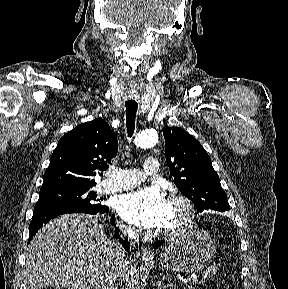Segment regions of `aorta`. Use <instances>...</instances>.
<instances>
[{"mask_svg":"<svg viewBox=\"0 0 288 289\" xmlns=\"http://www.w3.org/2000/svg\"><path fill=\"white\" fill-rule=\"evenodd\" d=\"M157 142H158V135L156 131L151 129L144 130L138 133V135L135 138V144L142 148L153 147L154 145H156Z\"/></svg>","mask_w":288,"mask_h":289,"instance_id":"1","label":"aorta"}]
</instances>
